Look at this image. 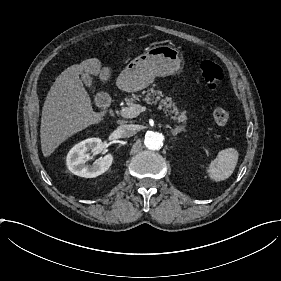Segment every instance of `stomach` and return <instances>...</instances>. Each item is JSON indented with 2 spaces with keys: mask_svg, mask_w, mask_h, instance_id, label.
<instances>
[{
  "mask_svg": "<svg viewBox=\"0 0 281 281\" xmlns=\"http://www.w3.org/2000/svg\"><path fill=\"white\" fill-rule=\"evenodd\" d=\"M182 58L177 48L168 45L154 46L134 58L117 78V86L126 92L148 87L155 77L179 74Z\"/></svg>",
  "mask_w": 281,
  "mask_h": 281,
  "instance_id": "stomach-1",
  "label": "stomach"
}]
</instances>
